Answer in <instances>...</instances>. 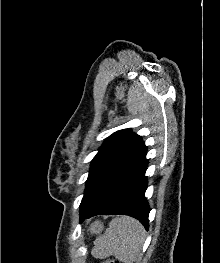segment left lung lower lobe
<instances>
[{
  "instance_id": "obj_1",
  "label": "left lung lower lobe",
  "mask_w": 220,
  "mask_h": 263,
  "mask_svg": "<svg viewBox=\"0 0 220 263\" xmlns=\"http://www.w3.org/2000/svg\"><path fill=\"white\" fill-rule=\"evenodd\" d=\"M146 154L113 185L92 207L80 211V222L95 215H129L148 229L149 205L144 196L147 187Z\"/></svg>"
}]
</instances>
